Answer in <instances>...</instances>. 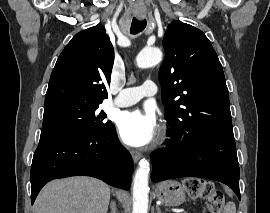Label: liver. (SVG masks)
Here are the masks:
<instances>
[{"instance_id": "liver-1", "label": "liver", "mask_w": 270, "mask_h": 213, "mask_svg": "<svg viewBox=\"0 0 270 213\" xmlns=\"http://www.w3.org/2000/svg\"><path fill=\"white\" fill-rule=\"evenodd\" d=\"M110 187L95 178L54 180L38 195L35 213H107Z\"/></svg>"}]
</instances>
